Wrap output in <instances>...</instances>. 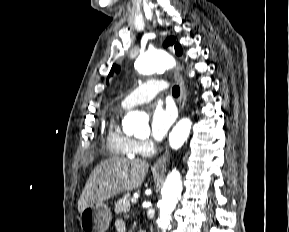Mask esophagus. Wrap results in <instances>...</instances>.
Wrapping results in <instances>:
<instances>
[{
  "instance_id": "esophagus-1",
  "label": "esophagus",
  "mask_w": 289,
  "mask_h": 232,
  "mask_svg": "<svg viewBox=\"0 0 289 232\" xmlns=\"http://www.w3.org/2000/svg\"><path fill=\"white\" fill-rule=\"evenodd\" d=\"M174 78L177 81L179 87H180V97H179V104H178V109L179 113L182 112L184 109L185 103H186V87L184 80L182 79L181 75L177 72L174 71ZM170 157L169 150L167 149L166 152L154 163L153 169L154 170H160L163 169Z\"/></svg>"
}]
</instances>
